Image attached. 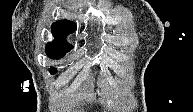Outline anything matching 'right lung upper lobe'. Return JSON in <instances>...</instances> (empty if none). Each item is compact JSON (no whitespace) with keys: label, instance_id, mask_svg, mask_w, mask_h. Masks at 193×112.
Returning a JSON list of instances; mask_svg holds the SVG:
<instances>
[{"label":"right lung upper lobe","instance_id":"right-lung-upper-lobe-1","mask_svg":"<svg viewBox=\"0 0 193 112\" xmlns=\"http://www.w3.org/2000/svg\"><path fill=\"white\" fill-rule=\"evenodd\" d=\"M77 29L75 23L70 21H57L51 26L52 34L55 37L53 42L64 43L68 34L73 33Z\"/></svg>","mask_w":193,"mask_h":112}]
</instances>
